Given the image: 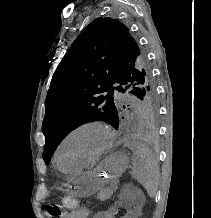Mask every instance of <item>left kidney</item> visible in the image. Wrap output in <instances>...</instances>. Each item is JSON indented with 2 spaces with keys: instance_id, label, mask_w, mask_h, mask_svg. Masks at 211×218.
<instances>
[{
  "instance_id": "left-kidney-1",
  "label": "left kidney",
  "mask_w": 211,
  "mask_h": 218,
  "mask_svg": "<svg viewBox=\"0 0 211 218\" xmlns=\"http://www.w3.org/2000/svg\"><path fill=\"white\" fill-rule=\"evenodd\" d=\"M115 207H108L107 218H140L136 207H131V198H120L114 203ZM124 212V213H120Z\"/></svg>"
}]
</instances>
